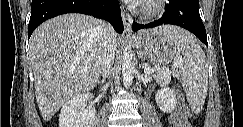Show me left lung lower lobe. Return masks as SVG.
Masks as SVG:
<instances>
[{
  "mask_svg": "<svg viewBox=\"0 0 243 127\" xmlns=\"http://www.w3.org/2000/svg\"><path fill=\"white\" fill-rule=\"evenodd\" d=\"M199 0H169L163 16L149 24L133 22V31L142 28H152L162 24H172L183 27L202 41L207 47V35L199 14Z\"/></svg>",
  "mask_w": 243,
  "mask_h": 127,
  "instance_id": "obj_1",
  "label": "left lung lower lobe"
}]
</instances>
